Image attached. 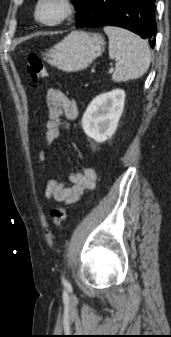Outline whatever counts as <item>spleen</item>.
Here are the masks:
<instances>
[{
	"mask_svg": "<svg viewBox=\"0 0 171 337\" xmlns=\"http://www.w3.org/2000/svg\"><path fill=\"white\" fill-rule=\"evenodd\" d=\"M104 31L109 38V57L116 60L113 81L123 82L142 77L151 61L146 41L120 27L106 26Z\"/></svg>",
	"mask_w": 171,
	"mask_h": 337,
	"instance_id": "spleen-1",
	"label": "spleen"
}]
</instances>
